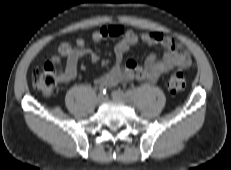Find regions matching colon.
I'll return each instance as SVG.
<instances>
[{"mask_svg": "<svg viewBox=\"0 0 231 170\" xmlns=\"http://www.w3.org/2000/svg\"><path fill=\"white\" fill-rule=\"evenodd\" d=\"M72 49L71 44L64 43L59 47L60 56H66ZM60 60L59 57L53 58L41 68L35 70L33 74V86L39 90L44 96L51 97L58 93L61 74L55 64ZM186 86L184 74L180 70H174L168 81V89L172 93L184 90Z\"/></svg>", "mask_w": 231, "mask_h": 170, "instance_id": "5ec220e1", "label": "colon"}]
</instances>
